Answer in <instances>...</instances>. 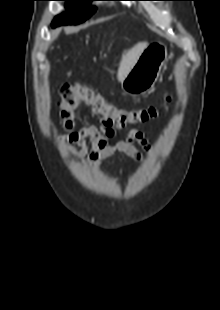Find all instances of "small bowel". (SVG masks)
<instances>
[{
    "label": "small bowel",
    "mask_w": 220,
    "mask_h": 310,
    "mask_svg": "<svg viewBox=\"0 0 220 310\" xmlns=\"http://www.w3.org/2000/svg\"><path fill=\"white\" fill-rule=\"evenodd\" d=\"M115 129L105 127L88 126L63 138L66 148L85 164L99 166L101 161L115 154H124L135 161L144 160L143 153L135 147L139 144L146 153L151 152V145L142 131L132 129L123 141L113 145L108 143V138L114 136ZM89 140L92 149L89 152L86 142ZM75 144L76 146L72 145Z\"/></svg>",
    "instance_id": "obj_1"
}]
</instances>
